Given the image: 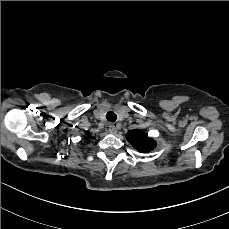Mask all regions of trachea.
Returning a JSON list of instances; mask_svg holds the SVG:
<instances>
[{"instance_id":"trachea-1","label":"trachea","mask_w":229,"mask_h":229,"mask_svg":"<svg viewBox=\"0 0 229 229\" xmlns=\"http://www.w3.org/2000/svg\"><path fill=\"white\" fill-rule=\"evenodd\" d=\"M106 119H107V121L114 123L117 119V115L113 111H109L106 114Z\"/></svg>"}]
</instances>
